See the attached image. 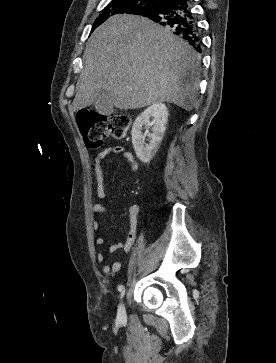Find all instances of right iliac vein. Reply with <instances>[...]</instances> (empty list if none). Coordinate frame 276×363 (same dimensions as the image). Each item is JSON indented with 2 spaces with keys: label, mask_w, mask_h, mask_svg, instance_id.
<instances>
[{
  "label": "right iliac vein",
  "mask_w": 276,
  "mask_h": 363,
  "mask_svg": "<svg viewBox=\"0 0 276 363\" xmlns=\"http://www.w3.org/2000/svg\"><path fill=\"white\" fill-rule=\"evenodd\" d=\"M117 316L119 319H123L126 316L125 306L123 302L119 304Z\"/></svg>",
  "instance_id": "63e3f726"
}]
</instances>
